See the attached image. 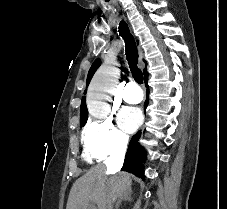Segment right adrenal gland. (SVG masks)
I'll list each match as a JSON object with an SVG mask.
<instances>
[{
  "instance_id": "1",
  "label": "right adrenal gland",
  "mask_w": 227,
  "mask_h": 209,
  "mask_svg": "<svg viewBox=\"0 0 227 209\" xmlns=\"http://www.w3.org/2000/svg\"><path fill=\"white\" fill-rule=\"evenodd\" d=\"M122 201H132L131 193H125V195H123V197H119V199L115 205L116 209H119Z\"/></svg>"
}]
</instances>
